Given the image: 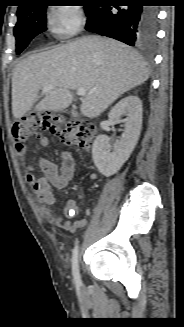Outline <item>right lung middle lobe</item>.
<instances>
[{
    "mask_svg": "<svg viewBox=\"0 0 184 327\" xmlns=\"http://www.w3.org/2000/svg\"><path fill=\"white\" fill-rule=\"evenodd\" d=\"M37 3L31 7L17 12L18 22L14 28L17 54L29 44L36 35L46 30V7ZM86 15L90 13L93 5L84 6Z\"/></svg>",
    "mask_w": 184,
    "mask_h": 327,
    "instance_id": "obj_1",
    "label": "right lung middle lobe"
}]
</instances>
